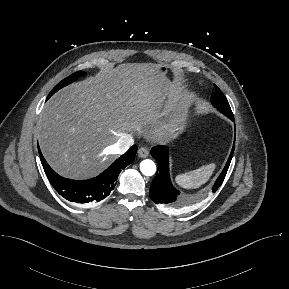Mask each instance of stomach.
Returning <instances> with one entry per match:
<instances>
[{"label":"stomach","instance_id":"1","mask_svg":"<svg viewBox=\"0 0 289 289\" xmlns=\"http://www.w3.org/2000/svg\"><path fill=\"white\" fill-rule=\"evenodd\" d=\"M158 71L160 74H162L163 76L167 75L168 72V68L166 65H158Z\"/></svg>","mask_w":289,"mask_h":289}]
</instances>
